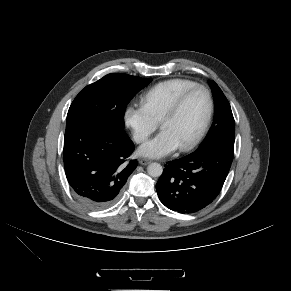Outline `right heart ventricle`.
<instances>
[{"instance_id": "obj_1", "label": "right heart ventricle", "mask_w": 291, "mask_h": 291, "mask_svg": "<svg viewBox=\"0 0 291 291\" xmlns=\"http://www.w3.org/2000/svg\"><path fill=\"white\" fill-rule=\"evenodd\" d=\"M194 85L196 82L184 78L161 81L142 94L141 104L159 122L178 95Z\"/></svg>"}]
</instances>
